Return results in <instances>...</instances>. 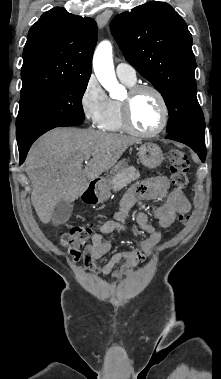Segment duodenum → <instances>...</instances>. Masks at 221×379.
<instances>
[{
    "label": "duodenum",
    "mask_w": 221,
    "mask_h": 379,
    "mask_svg": "<svg viewBox=\"0 0 221 379\" xmlns=\"http://www.w3.org/2000/svg\"><path fill=\"white\" fill-rule=\"evenodd\" d=\"M96 189H97V180H94L90 182L89 186L87 187L84 197L88 199L90 202H96Z\"/></svg>",
    "instance_id": "obj_1"
}]
</instances>
